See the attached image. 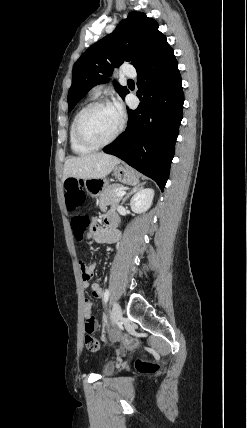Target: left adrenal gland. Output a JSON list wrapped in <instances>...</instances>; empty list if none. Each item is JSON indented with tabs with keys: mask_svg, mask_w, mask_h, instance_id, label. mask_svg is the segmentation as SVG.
I'll list each match as a JSON object with an SVG mask.
<instances>
[{
	"mask_svg": "<svg viewBox=\"0 0 247 428\" xmlns=\"http://www.w3.org/2000/svg\"><path fill=\"white\" fill-rule=\"evenodd\" d=\"M146 182H142L137 184L136 186H134L131 190L128 191V193L125 195V197L122 200V204L125 203V201L127 200V198L132 195L134 192H136L137 190L141 189L142 186L145 184Z\"/></svg>",
	"mask_w": 247,
	"mask_h": 428,
	"instance_id": "1",
	"label": "left adrenal gland"
}]
</instances>
